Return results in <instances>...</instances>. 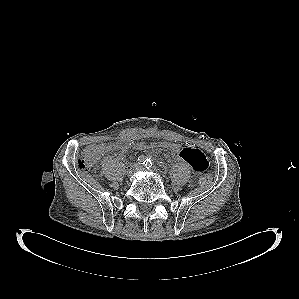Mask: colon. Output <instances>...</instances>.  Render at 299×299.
I'll use <instances>...</instances> for the list:
<instances>
[{
	"label": "colon",
	"mask_w": 299,
	"mask_h": 299,
	"mask_svg": "<svg viewBox=\"0 0 299 299\" xmlns=\"http://www.w3.org/2000/svg\"><path fill=\"white\" fill-rule=\"evenodd\" d=\"M176 146L175 143L160 142H140L133 145V149L142 151L150 148L171 149ZM126 145L121 141L110 142L103 145L90 146L86 148L78 159V167L85 171H95L98 168L100 157L106 152L122 151ZM212 181V176L208 173L203 174L199 182L201 185H208Z\"/></svg>",
	"instance_id": "1"
}]
</instances>
